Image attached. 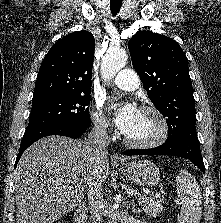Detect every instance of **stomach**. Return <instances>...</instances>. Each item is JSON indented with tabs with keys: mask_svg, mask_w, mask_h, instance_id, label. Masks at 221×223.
I'll list each match as a JSON object with an SVG mask.
<instances>
[{
	"mask_svg": "<svg viewBox=\"0 0 221 223\" xmlns=\"http://www.w3.org/2000/svg\"><path fill=\"white\" fill-rule=\"evenodd\" d=\"M131 182L139 186H152L159 182V168L149 160L132 161L116 165Z\"/></svg>",
	"mask_w": 221,
	"mask_h": 223,
	"instance_id": "obj_1",
	"label": "stomach"
}]
</instances>
